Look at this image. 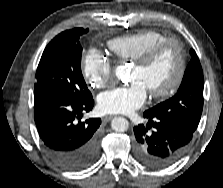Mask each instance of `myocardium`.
<instances>
[{
	"instance_id": "myocardium-1",
	"label": "myocardium",
	"mask_w": 223,
	"mask_h": 188,
	"mask_svg": "<svg viewBox=\"0 0 223 188\" xmlns=\"http://www.w3.org/2000/svg\"><path fill=\"white\" fill-rule=\"evenodd\" d=\"M169 46L174 47L177 52V70L174 78L165 88L149 91L152 98L168 97L176 92L181 85L187 69L186 54L182 43L174 38H166L148 48L142 55L132 61L134 66L144 68L148 66L160 52Z\"/></svg>"
}]
</instances>
